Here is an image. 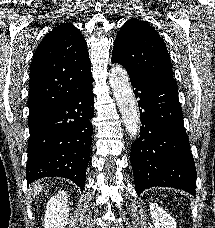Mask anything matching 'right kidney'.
Wrapping results in <instances>:
<instances>
[{"label": "right kidney", "mask_w": 215, "mask_h": 228, "mask_svg": "<svg viewBox=\"0 0 215 228\" xmlns=\"http://www.w3.org/2000/svg\"><path fill=\"white\" fill-rule=\"evenodd\" d=\"M69 202L66 192H59L52 196L46 204L44 228H64L68 224Z\"/></svg>", "instance_id": "ca27d5eb"}]
</instances>
